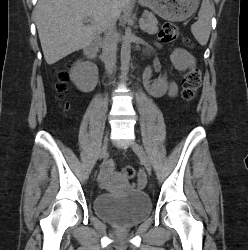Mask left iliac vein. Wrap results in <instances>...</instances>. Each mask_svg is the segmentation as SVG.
<instances>
[{
    "mask_svg": "<svg viewBox=\"0 0 248 250\" xmlns=\"http://www.w3.org/2000/svg\"><path fill=\"white\" fill-rule=\"evenodd\" d=\"M132 149L138 155V157L140 158L141 163L144 166V168L146 169V171L148 173H151V171H152L151 162H150L146 152L144 151L143 147L140 146L138 143L133 142L132 143Z\"/></svg>",
    "mask_w": 248,
    "mask_h": 250,
    "instance_id": "1",
    "label": "left iliac vein"
}]
</instances>
